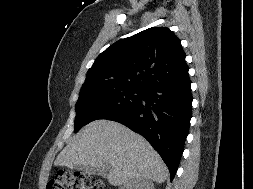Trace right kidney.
Masks as SVG:
<instances>
[{
  "mask_svg": "<svg viewBox=\"0 0 253 189\" xmlns=\"http://www.w3.org/2000/svg\"><path fill=\"white\" fill-rule=\"evenodd\" d=\"M120 189H154V184L149 179L136 178L124 184Z\"/></svg>",
  "mask_w": 253,
  "mask_h": 189,
  "instance_id": "1",
  "label": "right kidney"
}]
</instances>
